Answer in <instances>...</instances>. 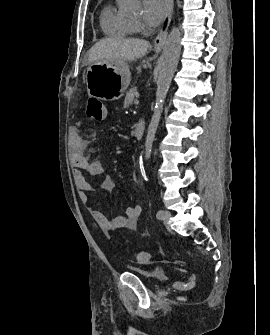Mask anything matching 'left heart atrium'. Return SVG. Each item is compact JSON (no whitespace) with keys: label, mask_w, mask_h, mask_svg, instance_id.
<instances>
[{"label":"left heart atrium","mask_w":270,"mask_h":335,"mask_svg":"<svg viewBox=\"0 0 270 335\" xmlns=\"http://www.w3.org/2000/svg\"><path fill=\"white\" fill-rule=\"evenodd\" d=\"M170 13L168 0H145L144 22L149 29L148 36H152Z\"/></svg>","instance_id":"39dd6f15"}]
</instances>
